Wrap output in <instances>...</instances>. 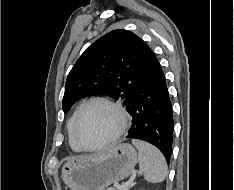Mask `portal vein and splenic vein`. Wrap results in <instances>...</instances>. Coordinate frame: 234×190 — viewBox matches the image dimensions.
<instances>
[{
  "mask_svg": "<svg viewBox=\"0 0 234 190\" xmlns=\"http://www.w3.org/2000/svg\"><path fill=\"white\" fill-rule=\"evenodd\" d=\"M114 186H115L116 188H118V189H123V190H125V186H121V185H119V183H115Z\"/></svg>",
  "mask_w": 234,
  "mask_h": 190,
  "instance_id": "portal-vein-and-splenic-vein-1",
  "label": "portal vein and splenic vein"
}]
</instances>
